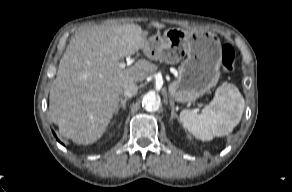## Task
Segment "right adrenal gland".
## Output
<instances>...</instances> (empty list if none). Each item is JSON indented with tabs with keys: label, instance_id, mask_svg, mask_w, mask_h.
<instances>
[{
	"label": "right adrenal gland",
	"instance_id": "1",
	"mask_svg": "<svg viewBox=\"0 0 292 192\" xmlns=\"http://www.w3.org/2000/svg\"><path fill=\"white\" fill-rule=\"evenodd\" d=\"M129 100V98H124V99H121L120 100V103H119V105H118V107H117V109H116V111H115V115H117L118 114V112H119V110L122 108L123 109V111H125V109H126V102Z\"/></svg>",
	"mask_w": 292,
	"mask_h": 192
}]
</instances>
